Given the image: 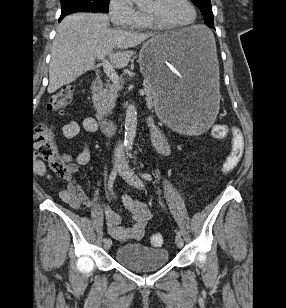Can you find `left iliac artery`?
<instances>
[{
    "mask_svg": "<svg viewBox=\"0 0 286 308\" xmlns=\"http://www.w3.org/2000/svg\"><path fill=\"white\" fill-rule=\"evenodd\" d=\"M131 150H132V147H129ZM141 177L147 181H152V176L149 174V173H143V174H140ZM162 206H164L162 203H161ZM176 234L177 236H181V231L180 230H177L176 231Z\"/></svg>",
    "mask_w": 286,
    "mask_h": 308,
    "instance_id": "obj_1",
    "label": "left iliac artery"
}]
</instances>
